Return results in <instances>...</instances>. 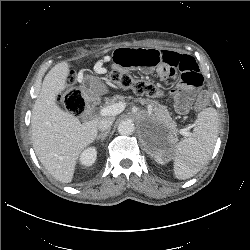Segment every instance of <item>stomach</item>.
Segmentation results:
<instances>
[{"mask_svg":"<svg viewBox=\"0 0 250 250\" xmlns=\"http://www.w3.org/2000/svg\"><path fill=\"white\" fill-rule=\"evenodd\" d=\"M141 49V48H138ZM107 86L103 81L97 78H88L81 87V94L87 101L94 100L107 93Z\"/></svg>","mask_w":250,"mask_h":250,"instance_id":"0dacf381","label":"stomach"}]
</instances>
